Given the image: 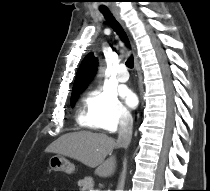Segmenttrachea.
<instances>
[{
    "mask_svg": "<svg viewBox=\"0 0 210 191\" xmlns=\"http://www.w3.org/2000/svg\"><path fill=\"white\" fill-rule=\"evenodd\" d=\"M101 12L104 14L108 24L114 29V31L122 38V40L129 45L127 35L122 28V26L116 21L112 13L107 8H101ZM126 66L128 68H133L134 66V59L133 56L128 58L126 61Z\"/></svg>",
    "mask_w": 210,
    "mask_h": 191,
    "instance_id": "3493384b",
    "label": "trachea"
}]
</instances>
